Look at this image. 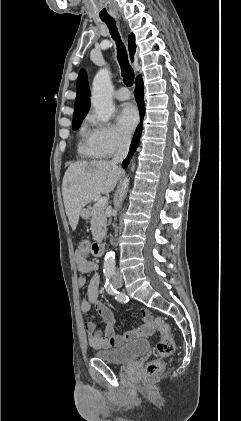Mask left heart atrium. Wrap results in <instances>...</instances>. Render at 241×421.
<instances>
[{"mask_svg":"<svg viewBox=\"0 0 241 421\" xmlns=\"http://www.w3.org/2000/svg\"><path fill=\"white\" fill-rule=\"evenodd\" d=\"M138 111L131 103L123 104L117 114L119 126L127 133H130L138 122Z\"/></svg>","mask_w":241,"mask_h":421,"instance_id":"1","label":"left heart atrium"}]
</instances>
